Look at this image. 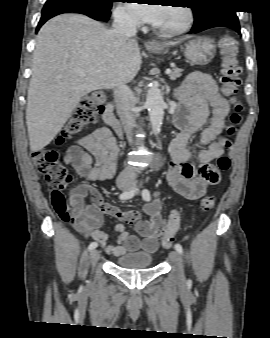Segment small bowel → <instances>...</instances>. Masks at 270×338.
<instances>
[{
    "mask_svg": "<svg viewBox=\"0 0 270 338\" xmlns=\"http://www.w3.org/2000/svg\"><path fill=\"white\" fill-rule=\"evenodd\" d=\"M175 97L184 109L178 112L175 119L180 132L171 143L173 162L167 179L177 194L189 200H199L207 194L209 186L219 180V173L211 168V162L220 157L226 148L225 118L230 112V104L219 92L215 81L208 74L200 72L190 73L176 89ZM198 132L200 148L193 153L187 144ZM118 153L111 130L102 126L81 137L78 144L70 146L65 162L71 164L82 178L106 181L115 172ZM60 205L68 216L67 220L85 236L98 242L108 254L140 250L154 253L157 250L163 224L158 199L144 205L143 212L148 218L141 220L138 211L122 210L105 203L99 191L84 182L71 188L67 198L62 196ZM102 213L113 215L123 223H136L143 243L138 236L130 234L123 223L115 227L118 245L110 243L109 235L101 230L104 223Z\"/></svg>",
    "mask_w": 270,
    "mask_h": 338,
    "instance_id": "1",
    "label": "small bowel"
}]
</instances>
